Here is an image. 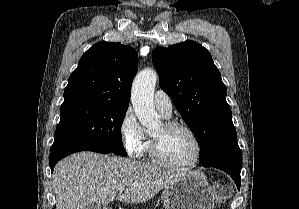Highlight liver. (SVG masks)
Wrapping results in <instances>:
<instances>
[{
    "label": "liver",
    "instance_id": "1",
    "mask_svg": "<svg viewBox=\"0 0 299 209\" xmlns=\"http://www.w3.org/2000/svg\"><path fill=\"white\" fill-rule=\"evenodd\" d=\"M191 173L166 170L129 158L76 153L55 166V209H86L89 203L107 204L115 199L142 203ZM120 185L126 188L122 194H118Z\"/></svg>",
    "mask_w": 299,
    "mask_h": 209
}]
</instances>
